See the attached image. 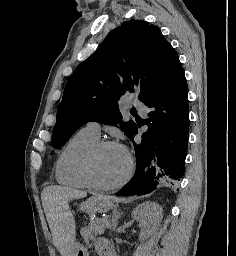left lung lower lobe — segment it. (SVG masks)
Listing matches in <instances>:
<instances>
[{
	"mask_svg": "<svg viewBox=\"0 0 236 256\" xmlns=\"http://www.w3.org/2000/svg\"><path fill=\"white\" fill-rule=\"evenodd\" d=\"M144 104L150 112L149 119L143 120L141 125H148L149 129L142 134L140 144L134 143L136 172L116 193L118 196L145 195L161 186L174 185L184 173L189 136V107L183 68L157 89ZM137 133L136 125L130 138L133 139ZM152 160L155 165L142 172Z\"/></svg>",
	"mask_w": 236,
	"mask_h": 256,
	"instance_id": "1",
	"label": "left lung lower lobe"
}]
</instances>
